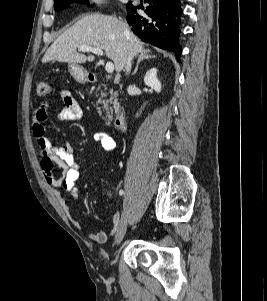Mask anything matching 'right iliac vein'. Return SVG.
<instances>
[{
    "label": "right iliac vein",
    "instance_id": "right-iliac-vein-1",
    "mask_svg": "<svg viewBox=\"0 0 267 301\" xmlns=\"http://www.w3.org/2000/svg\"><path fill=\"white\" fill-rule=\"evenodd\" d=\"M126 231H127V214L126 212H124L120 219L116 237H115V242L117 245H119L124 239Z\"/></svg>",
    "mask_w": 267,
    "mask_h": 301
}]
</instances>
